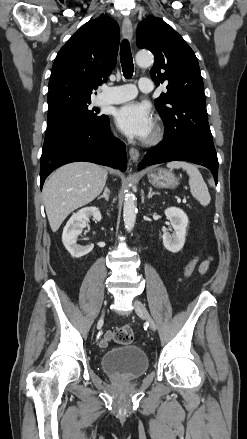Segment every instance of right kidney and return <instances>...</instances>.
<instances>
[{
	"instance_id": "1",
	"label": "right kidney",
	"mask_w": 247,
	"mask_h": 439,
	"mask_svg": "<svg viewBox=\"0 0 247 439\" xmlns=\"http://www.w3.org/2000/svg\"><path fill=\"white\" fill-rule=\"evenodd\" d=\"M90 216L97 221L102 219L98 208L94 206L85 207L74 213L63 229L62 242L72 257L80 258L91 252L94 247L93 245L80 246L77 244V238L81 234L82 228L89 221Z\"/></svg>"
}]
</instances>
